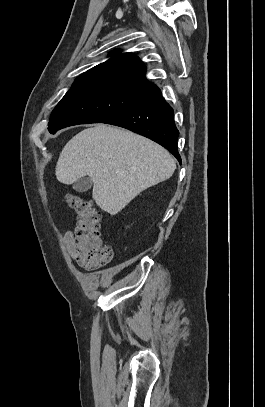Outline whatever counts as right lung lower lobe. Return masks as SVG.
I'll return each instance as SVG.
<instances>
[{
  "mask_svg": "<svg viewBox=\"0 0 265 407\" xmlns=\"http://www.w3.org/2000/svg\"><path fill=\"white\" fill-rule=\"evenodd\" d=\"M103 123L129 129L159 143L181 163L177 148L179 131L174 123L173 109L163 99L159 88L141 103Z\"/></svg>",
  "mask_w": 265,
  "mask_h": 407,
  "instance_id": "98d812e1",
  "label": "right lung lower lobe"
}]
</instances>
